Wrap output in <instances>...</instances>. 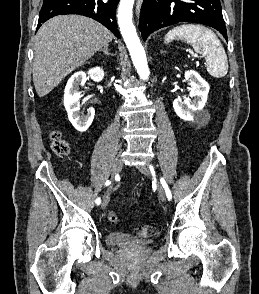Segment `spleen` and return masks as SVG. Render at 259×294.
<instances>
[{
    "mask_svg": "<svg viewBox=\"0 0 259 294\" xmlns=\"http://www.w3.org/2000/svg\"><path fill=\"white\" fill-rule=\"evenodd\" d=\"M182 40L205 56L208 73L215 77H224L228 72V59L221 42L210 29L193 24H183L171 29L165 36V43Z\"/></svg>",
    "mask_w": 259,
    "mask_h": 294,
    "instance_id": "1",
    "label": "spleen"
}]
</instances>
